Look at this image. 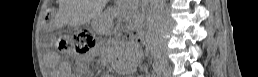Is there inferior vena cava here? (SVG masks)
I'll return each instance as SVG.
<instances>
[{"mask_svg": "<svg viewBox=\"0 0 258 77\" xmlns=\"http://www.w3.org/2000/svg\"><path fill=\"white\" fill-rule=\"evenodd\" d=\"M152 4L149 9V25L163 20V5L162 0H151Z\"/></svg>", "mask_w": 258, "mask_h": 77, "instance_id": "obj_1", "label": "inferior vena cava"}]
</instances>
